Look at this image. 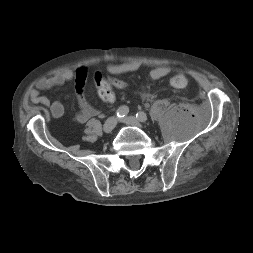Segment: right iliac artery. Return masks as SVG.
Instances as JSON below:
<instances>
[{
  "mask_svg": "<svg viewBox=\"0 0 253 253\" xmlns=\"http://www.w3.org/2000/svg\"><path fill=\"white\" fill-rule=\"evenodd\" d=\"M129 113V108L125 105L119 107L116 111V116L118 118L125 117Z\"/></svg>",
  "mask_w": 253,
  "mask_h": 253,
  "instance_id": "obj_1",
  "label": "right iliac artery"
}]
</instances>
